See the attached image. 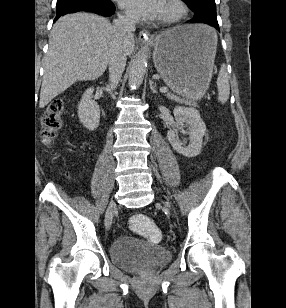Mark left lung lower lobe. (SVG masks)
Instances as JSON below:
<instances>
[{"instance_id": "obj_1", "label": "left lung lower lobe", "mask_w": 286, "mask_h": 308, "mask_svg": "<svg viewBox=\"0 0 286 308\" xmlns=\"http://www.w3.org/2000/svg\"><path fill=\"white\" fill-rule=\"evenodd\" d=\"M187 22L209 24L219 30L216 8L213 7H206L195 11L194 17Z\"/></svg>"}]
</instances>
